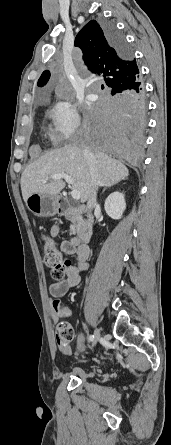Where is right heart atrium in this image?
<instances>
[{
    "instance_id": "obj_1",
    "label": "right heart atrium",
    "mask_w": 171,
    "mask_h": 445,
    "mask_svg": "<svg viewBox=\"0 0 171 445\" xmlns=\"http://www.w3.org/2000/svg\"><path fill=\"white\" fill-rule=\"evenodd\" d=\"M51 136L56 143H66L73 138L80 127L77 109L67 101L55 104L50 111Z\"/></svg>"
}]
</instances>
